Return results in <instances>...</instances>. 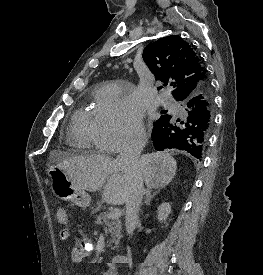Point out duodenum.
<instances>
[{
	"mask_svg": "<svg viewBox=\"0 0 263 275\" xmlns=\"http://www.w3.org/2000/svg\"><path fill=\"white\" fill-rule=\"evenodd\" d=\"M126 260H127L126 255H124V254H117V255H115L113 257V259H112L111 263L109 264V266L112 269H115L118 264L124 263Z\"/></svg>",
	"mask_w": 263,
	"mask_h": 275,
	"instance_id": "410a0bca",
	"label": "duodenum"
}]
</instances>
